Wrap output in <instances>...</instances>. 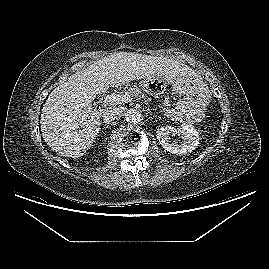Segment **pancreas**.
<instances>
[{
  "label": "pancreas",
  "mask_w": 269,
  "mask_h": 269,
  "mask_svg": "<svg viewBox=\"0 0 269 269\" xmlns=\"http://www.w3.org/2000/svg\"><path fill=\"white\" fill-rule=\"evenodd\" d=\"M126 93H127L129 96H132V97H135V98H138V99L144 97V95L141 93V90H140L138 87H136V86H133V87L128 88L127 91H126ZM165 112H166L167 116L171 117L172 119L183 120V119H182L181 117H179V116L176 114V112L173 111V110H168V109H166ZM183 122H184V123H187L188 121H184V120H183Z\"/></svg>",
  "instance_id": "pancreas-1"
}]
</instances>
